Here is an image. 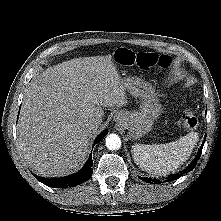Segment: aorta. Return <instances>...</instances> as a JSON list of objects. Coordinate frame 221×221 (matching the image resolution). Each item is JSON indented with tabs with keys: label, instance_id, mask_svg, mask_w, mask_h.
Returning a JSON list of instances; mask_svg holds the SVG:
<instances>
[{
	"label": "aorta",
	"instance_id": "762f6f07",
	"mask_svg": "<svg viewBox=\"0 0 221 221\" xmlns=\"http://www.w3.org/2000/svg\"><path fill=\"white\" fill-rule=\"evenodd\" d=\"M105 144L109 150H117L121 147V139L116 134H110L106 137Z\"/></svg>",
	"mask_w": 221,
	"mask_h": 221
}]
</instances>
